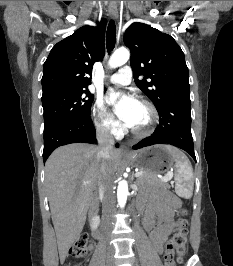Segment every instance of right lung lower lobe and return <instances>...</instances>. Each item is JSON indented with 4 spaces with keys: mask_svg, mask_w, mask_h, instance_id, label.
I'll return each instance as SVG.
<instances>
[{
    "mask_svg": "<svg viewBox=\"0 0 233 266\" xmlns=\"http://www.w3.org/2000/svg\"><path fill=\"white\" fill-rule=\"evenodd\" d=\"M84 142H96L95 128L91 117L65 121L44 130L43 161L59 146ZM119 145L116 144V147Z\"/></svg>",
    "mask_w": 233,
    "mask_h": 266,
    "instance_id": "obj_1",
    "label": "right lung lower lobe"
}]
</instances>
